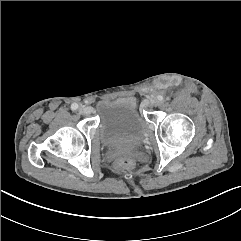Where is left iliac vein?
Returning a JSON list of instances; mask_svg holds the SVG:
<instances>
[{
  "instance_id": "1",
  "label": "left iliac vein",
  "mask_w": 241,
  "mask_h": 241,
  "mask_svg": "<svg viewBox=\"0 0 241 241\" xmlns=\"http://www.w3.org/2000/svg\"><path fill=\"white\" fill-rule=\"evenodd\" d=\"M157 104H158V101L155 98H151L144 102V106H147V107H153V106H156Z\"/></svg>"
}]
</instances>
